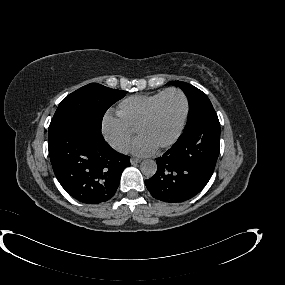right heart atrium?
<instances>
[{
  "label": "right heart atrium",
  "instance_id": "d8ad5b80",
  "mask_svg": "<svg viewBox=\"0 0 285 285\" xmlns=\"http://www.w3.org/2000/svg\"><path fill=\"white\" fill-rule=\"evenodd\" d=\"M101 131L107 142L117 151L126 152L134 139V133L128 129L118 117L104 116Z\"/></svg>",
  "mask_w": 285,
  "mask_h": 285
}]
</instances>
